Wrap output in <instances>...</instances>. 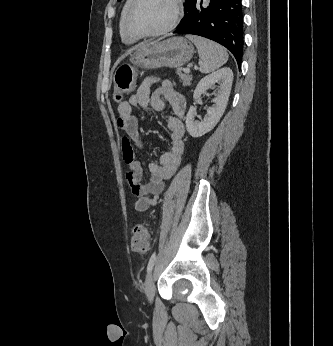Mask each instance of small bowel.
I'll return each instance as SVG.
<instances>
[{"label": "small bowel", "mask_w": 333, "mask_h": 346, "mask_svg": "<svg viewBox=\"0 0 333 346\" xmlns=\"http://www.w3.org/2000/svg\"><path fill=\"white\" fill-rule=\"evenodd\" d=\"M159 83L158 88L151 94L150 87ZM170 107L167 115V126L170 130L171 147L160 155L158 162L149 164L150 179L144 183L143 170L136 159L134 146L143 148L139 137L138 119L133 113V107L143 109L153 108L163 112ZM186 112V100L168 80L148 77L138 87L137 91L118 106V126L123 132L121 140L124 162L128 166L127 180L132 193L137 197L134 207L137 211L145 212L155 206L164 189L165 182L173 177L180 165L184 153L183 136L185 133L183 117Z\"/></svg>", "instance_id": "c3829d8e"}]
</instances>
